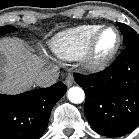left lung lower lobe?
Listing matches in <instances>:
<instances>
[{"mask_svg": "<svg viewBox=\"0 0 139 139\" xmlns=\"http://www.w3.org/2000/svg\"><path fill=\"white\" fill-rule=\"evenodd\" d=\"M74 77L85 91V114L96 132L120 137L139 125V44L127 46L104 71Z\"/></svg>", "mask_w": 139, "mask_h": 139, "instance_id": "left-lung-lower-lobe-1", "label": "left lung lower lobe"}]
</instances>
